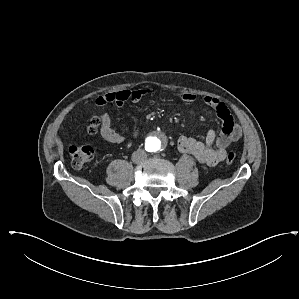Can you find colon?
<instances>
[{
  "instance_id": "obj_1",
  "label": "colon",
  "mask_w": 299,
  "mask_h": 299,
  "mask_svg": "<svg viewBox=\"0 0 299 299\" xmlns=\"http://www.w3.org/2000/svg\"><path fill=\"white\" fill-rule=\"evenodd\" d=\"M99 118L97 116H91L86 121V129L88 133L94 134L97 131L99 124ZM69 153L71 156L72 164L76 168H81L86 163L93 159L94 151L90 144L82 143L70 146ZM236 158L234 152H230L227 156V164H232Z\"/></svg>"
}]
</instances>
